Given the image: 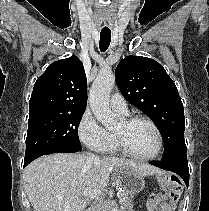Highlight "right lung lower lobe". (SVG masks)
<instances>
[{
    "label": "right lung lower lobe",
    "instance_id": "right-lung-lower-lobe-1",
    "mask_svg": "<svg viewBox=\"0 0 209 211\" xmlns=\"http://www.w3.org/2000/svg\"><path fill=\"white\" fill-rule=\"evenodd\" d=\"M75 152H78L76 150H72V149H58V150H54V151H51V152H48L47 154H52V153H75ZM45 154V155H47ZM29 163H24V167L26 165H28Z\"/></svg>",
    "mask_w": 209,
    "mask_h": 211
}]
</instances>
